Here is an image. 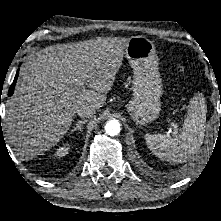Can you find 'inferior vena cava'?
<instances>
[{
    "mask_svg": "<svg viewBox=\"0 0 221 221\" xmlns=\"http://www.w3.org/2000/svg\"><path fill=\"white\" fill-rule=\"evenodd\" d=\"M96 109L92 105L86 104L78 107L76 113L81 118H90L94 115Z\"/></svg>",
    "mask_w": 221,
    "mask_h": 221,
    "instance_id": "inferior-vena-cava-1",
    "label": "inferior vena cava"
}]
</instances>
